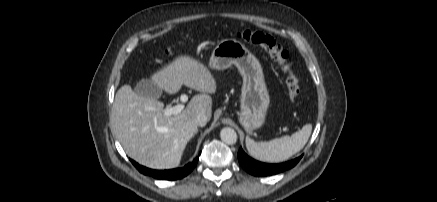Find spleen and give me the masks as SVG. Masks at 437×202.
<instances>
[{"instance_id":"spleen-1","label":"spleen","mask_w":437,"mask_h":202,"mask_svg":"<svg viewBox=\"0 0 437 202\" xmlns=\"http://www.w3.org/2000/svg\"><path fill=\"white\" fill-rule=\"evenodd\" d=\"M312 132V125L306 124L291 136H283L268 142H255L246 137V148L249 154L264 162H282L299 152L307 143Z\"/></svg>"}]
</instances>
